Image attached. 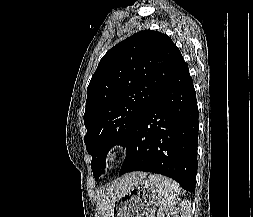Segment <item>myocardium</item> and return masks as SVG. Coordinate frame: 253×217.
Instances as JSON below:
<instances>
[{
	"label": "myocardium",
	"mask_w": 253,
	"mask_h": 217,
	"mask_svg": "<svg viewBox=\"0 0 253 217\" xmlns=\"http://www.w3.org/2000/svg\"><path fill=\"white\" fill-rule=\"evenodd\" d=\"M125 153V144L121 141L114 142L108 147L103 156V166L106 169L115 167Z\"/></svg>",
	"instance_id": "f54148a6"
}]
</instances>
